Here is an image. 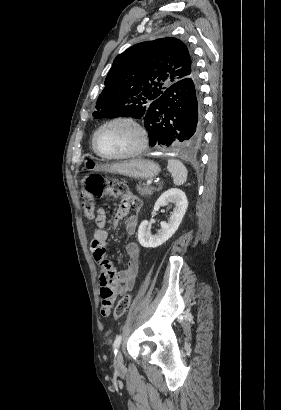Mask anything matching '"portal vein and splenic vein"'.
I'll list each match as a JSON object with an SVG mask.
<instances>
[{
  "label": "portal vein and splenic vein",
  "mask_w": 281,
  "mask_h": 410,
  "mask_svg": "<svg viewBox=\"0 0 281 410\" xmlns=\"http://www.w3.org/2000/svg\"><path fill=\"white\" fill-rule=\"evenodd\" d=\"M151 183H152L151 180H148V181H147V185H150Z\"/></svg>",
  "instance_id": "1"
}]
</instances>
